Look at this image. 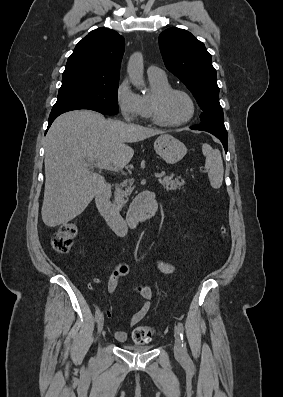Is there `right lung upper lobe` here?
Returning a JSON list of instances; mask_svg holds the SVG:
<instances>
[{"label":"right lung upper lobe","instance_id":"1","mask_svg":"<svg viewBox=\"0 0 283 397\" xmlns=\"http://www.w3.org/2000/svg\"><path fill=\"white\" fill-rule=\"evenodd\" d=\"M124 48V38L116 31L106 28L93 30L78 42L63 74L119 78Z\"/></svg>","mask_w":283,"mask_h":397}]
</instances>
